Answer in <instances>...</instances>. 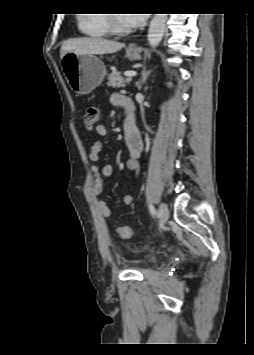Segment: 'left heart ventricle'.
<instances>
[{
  "label": "left heart ventricle",
  "mask_w": 254,
  "mask_h": 355,
  "mask_svg": "<svg viewBox=\"0 0 254 355\" xmlns=\"http://www.w3.org/2000/svg\"><path fill=\"white\" fill-rule=\"evenodd\" d=\"M118 19H119V21H120V24H121L123 27H128V28H129V25H128V23L126 22V20L124 19L123 16L118 15Z\"/></svg>",
  "instance_id": "1"
}]
</instances>
